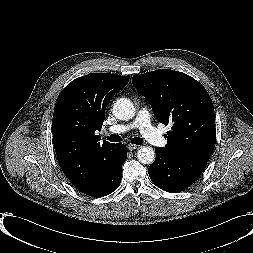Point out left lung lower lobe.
Here are the masks:
<instances>
[{"label": "left lung lower lobe", "instance_id": "0a47b994", "mask_svg": "<svg viewBox=\"0 0 253 253\" xmlns=\"http://www.w3.org/2000/svg\"><path fill=\"white\" fill-rule=\"evenodd\" d=\"M156 159L149 166L152 182L160 189L178 193L192 185L201 175L209 159L185 154H173L155 148Z\"/></svg>", "mask_w": 253, "mask_h": 253}]
</instances>
